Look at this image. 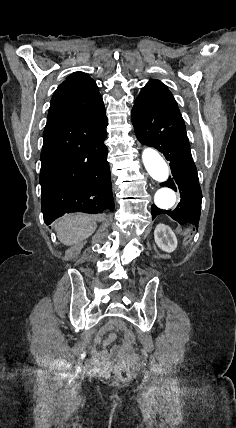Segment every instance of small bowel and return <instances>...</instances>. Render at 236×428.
<instances>
[{"label": "small bowel", "mask_w": 236, "mask_h": 428, "mask_svg": "<svg viewBox=\"0 0 236 428\" xmlns=\"http://www.w3.org/2000/svg\"><path fill=\"white\" fill-rule=\"evenodd\" d=\"M125 325L119 319H111L96 334L94 347L91 350L95 362L104 369H107L114 361L120 360L123 363H132L137 357L130 352L126 345H114L110 351L98 349L102 344L104 347L110 345L116 338V332L124 331Z\"/></svg>", "instance_id": "small-bowel-1"}]
</instances>
